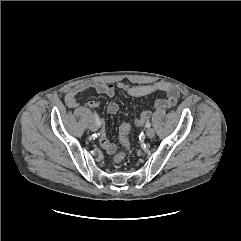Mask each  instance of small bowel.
I'll return each instance as SVG.
<instances>
[{"mask_svg":"<svg viewBox=\"0 0 241 241\" xmlns=\"http://www.w3.org/2000/svg\"><path fill=\"white\" fill-rule=\"evenodd\" d=\"M88 89H93L99 94L106 95L108 97H113L116 89H119L129 96L132 97H142L153 93H165L166 98L158 99L154 107L157 109H167L176 105L179 99V91L168 82H156L153 84L146 85H131L125 82H117L116 84H106L100 82H83L77 84L69 89L65 95V103L70 108H77L80 106V101L78 95ZM88 105L91 108H96L99 106L98 101H90ZM119 105L115 101H110L107 104L106 111L110 115H114L118 112ZM151 112L149 110H144L135 119V125L140 127L145 124V122L150 118ZM99 142L101 147L108 153L113 154L116 151V145L111 142L107 137L105 132L102 130L99 136Z\"/></svg>","mask_w":241,"mask_h":241,"instance_id":"1","label":"small bowel"}]
</instances>
